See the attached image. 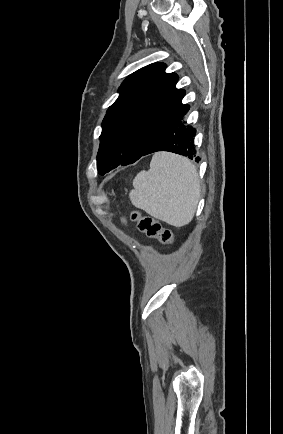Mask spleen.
Segmentation results:
<instances>
[{
    "label": "spleen",
    "mask_w": 283,
    "mask_h": 434,
    "mask_svg": "<svg viewBox=\"0 0 283 434\" xmlns=\"http://www.w3.org/2000/svg\"><path fill=\"white\" fill-rule=\"evenodd\" d=\"M129 197L132 204L154 218L181 227L193 219L200 196V183L194 164L179 155L159 152L148 171L133 180Z\"/></svg>",
    "instance_id": "3e777b00"
}]
</instances>
